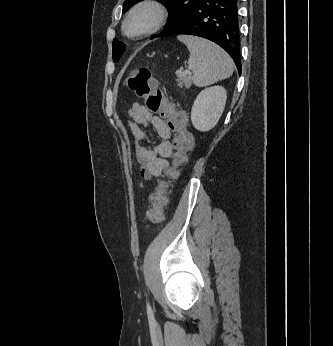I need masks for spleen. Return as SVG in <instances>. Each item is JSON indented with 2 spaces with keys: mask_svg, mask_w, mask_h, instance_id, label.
<instances>
[{
  "mask_svg": "<svg viewBox=\"0 0 333 346\" xmlns=\"http://www.w3.org/2000/svg\"><path fill=\"white\" fill-rule=\"evenodd\" d=\"M189 52L188 65L193 72V83L198 87L230 77L234 65L229 55L218 45L203 38L179 36Z\"/></svg>",
  "mask_w": 333,
  "mask_h": 346,
  "instance_id": "spleen-1",
  "label": "spleen"
}]
</instances>
